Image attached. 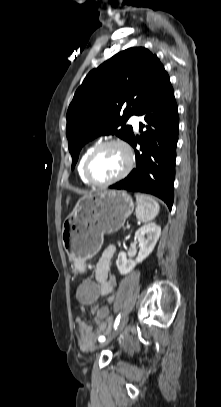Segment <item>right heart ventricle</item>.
Returning a JSON list of instances; mask_svg holds the SVG:
<instances>
[{"mask_svg": "<svg viewBox=\"0 0 221 407\" xmlns=\"http://www.w3.org/2000/svg\"><path fill=\"white\" fill-rule=\"evenodd\" d=\"M96 145H91L89 147H87L84 152L81 154L79 161H78V165H77V171H78V175L80 180L87 186H90L91 184L85 179L84 174H83V164L84 161L87 157V155L89 154V152L95 147Z\"/></svg>", "mask_w": 221, "mask_h": 407, "instance_id": "e07e8e85", "label": "right heart ventricle"}]
</instances>
